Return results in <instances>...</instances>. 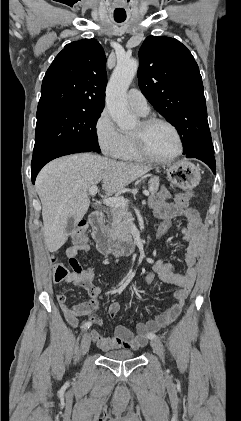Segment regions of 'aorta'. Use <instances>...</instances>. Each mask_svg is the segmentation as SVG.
<instances>
[{
    "mask_svg": "<svg viewBox=\"0 0 241 421\" xmlns=\"http://www.w3.org/2000/svg\"><path fill=\"white\" fill-rule=\"evenodd\" d=\"M138 69V62L134 59H122L111 75L106 88V105L112 119L121 129H128L135 125L136 118L128 110L126 91Z\"/></svg>",
    "mask_w": 241,
    "mask_h": 421,
    "instance_id": "1",
    "label": "aorta"
}]
</instances>
